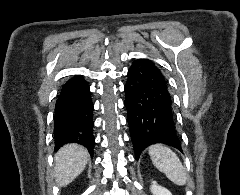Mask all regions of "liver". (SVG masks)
Listing matches in <instances>:
<instances>
[{
    "label": "liver",
    "mask_w": 240,
    "mask_h": 195,
    "mask_svg": "<svg viewBox=\"0 0 240 195\" xmlns=\"http://www.w3.org/2000/svg\"><path fill=\"white\" fill-rule=\"evenodd\" d=\"M89 159V153L83 145L67 143L55 153V179L59 185L71 183L84 167Z\"/></svg>",
    "instance_id": "obj_1"
}]
</instances>
